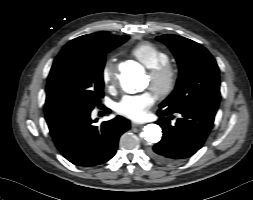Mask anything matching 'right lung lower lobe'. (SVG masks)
<instances>
[{"label": "right lung lower lobe", "instance_id": "obj_1", "mask_svg": "<svg viewBox=\"0 0 253 200\" xmlns=\"http://www.w3.org/2000/svg\"><path fill=\"white\" fill-rule=\"evenodd\" d=\"M91 110H62L45 113L53 141L62 155L77 166L91 167L111 159L119 137L130 128L121 116L100 126L90 118Z\"/></svg>", "mask_w": 253, "mask_h": 200}]
</instances>
